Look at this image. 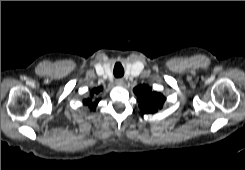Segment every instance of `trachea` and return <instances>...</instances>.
<instances>
[{"label":"trachea","instance_id":"trachea-1","mask_svg":"<svg viewBox=\"0 0 245 170\" xmlns=\"http://www.w3.org/2000/svg\"><path fill=\"white\" fill-rule=\"evenodd\" d=\"M114 75L119 78V77H122L124 75V70L123 68H121L120 70L118 71H114Z\"/></svg>","mask_w":245,"mask_h":170}]
</instances>
